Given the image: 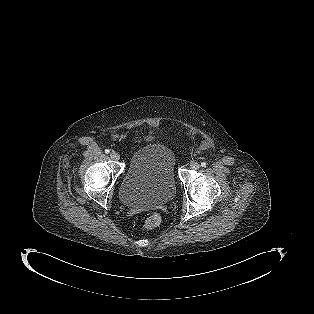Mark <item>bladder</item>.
Wrapping results in <instances>:
<instances>
[{"mask_svg": "<svg viewBox=\"0 0 314 314\" xmlns=\"http://www.w3.org/2000/svg\"><path fill=\"white\" fill-rule=\"evenodd\" d=\"M176 193L175 156L162 145L137 150L125 171L120 197L130 208L153 209L170 202Z\"/></svg>", "mask_w": 314, "mask_h": 314, "instance_id": "obj_1", "label": "bladder"}]
</instances>
